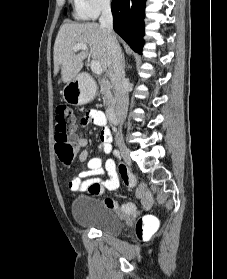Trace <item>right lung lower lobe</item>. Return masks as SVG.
I'll return each instance as SVG.
<instances>
[{"label": "right lung lower lobe", "instance_id": "obj_1", "mask_svg": "<svg viewBox=\"0 0 227 279\" xmlns=\"http://www.w3.org/2000/svg\"><path fill=\"white\" fill-rule=\"evenodd\" d=\"M146 0H113V28L136 52L144 45V17Z\"/></svg>", "mask_w": 227, "mask_h": 279}]
</instances>
